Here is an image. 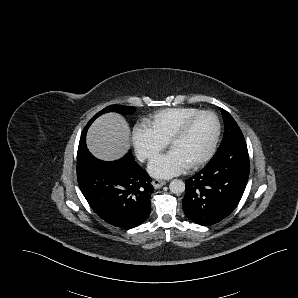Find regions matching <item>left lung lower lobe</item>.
Here are the masks:
<instances>
[{"mask_svg": "<svg viewBox=\"0 0 298 298\" xmlns=\"http://www.w3.org/2000/svg\"><path fill=\"white\" fill-rule=\"evenodd\" d=\"M250 171L246 142L220 153L195 176L185 181L182 207L193 222L210 226L227 217L239 203Z\"/></svg>", "mask_w": 298, "mask_h": 298, "instance_id": "left-lung-lower-lobe-1", "label": "left lung lower lobe"}]
</instances>
